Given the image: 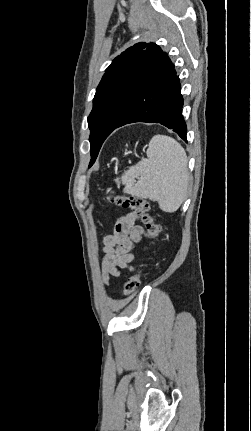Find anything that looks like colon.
Wrapping results in <instances>:
<instances>
[{"mask_svg":"<svg viewBox=\"0 0 251 431\" xmlns=\"http://www.w3.org/2000/svg\"><path fill=\"white\" fill-rule=\"evenodd\" d=\"M105 200L124 208H128L137 214L144 224L146 231L152 238H156L161 233L162 227L156 222L155 217L151 214V206L147 200L135 195L106 196ZM142 267L143 263H141V269L137 270L128 278L124 286V296L132 295L140 286Z\"/></svg>","mask_w":251,"mask_h":431,"instance_id":"colon-1","label":"colon"}]
</instances>
